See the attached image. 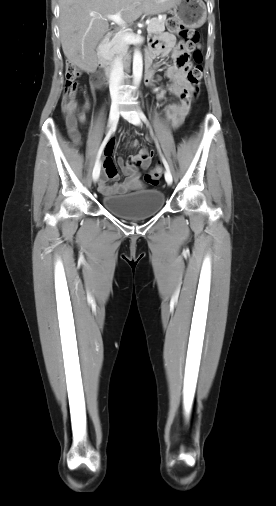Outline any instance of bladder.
Masks as SVG:
<instances>
[{"instance_id":"31cf9c89","label":"bladder","mask_w":276,"mask_h":506,"mask_svg":"<svg viewBox=\"0 0 276 506\" xmlns=\"http://www.w3.org/2000/svg\"><path fill=\"white\" fill-rule=\"evenodd\" d=\"M104 207L124 218L137 219L158 212L165 203V194L159 189H142L135 192L106 195L102 197Z\"/></svg>"}]
</instances>
